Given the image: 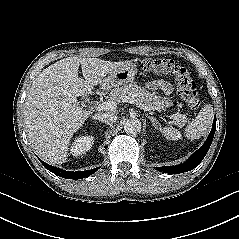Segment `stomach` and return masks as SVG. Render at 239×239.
Returning a JSON list of instances; mask_svg holds the SVG:
<instances>
[{"label": "stomach", "mask_w": 239, "mask_h": 239, "mask_svg": "<svg viewBox=\"0 0 239 239\" xmlns=\"http://www.w3.org/2000/svg\"><path fill=\"white\" fill-rule=\"evenodd\" d=\"M137 73L136 65L133 62H125L123 65L115 68L103 80L101 86L104 90L126 85L135 79Z\"/></svg>", "instance_id": "obj_1"}]
</instances>
